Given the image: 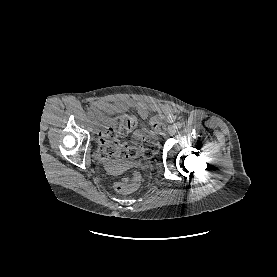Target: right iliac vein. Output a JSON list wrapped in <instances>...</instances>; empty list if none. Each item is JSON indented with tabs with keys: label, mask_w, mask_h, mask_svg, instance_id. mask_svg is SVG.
Returning <instances> with one entry per match:
<instances>
[{
	"label": "right iliac vein",
	"mask_w": 277,
	"mask_h": 277,
	"mask_svg": "<svg viewBox=\"0 0 277 277\" xmlns=\"http://www.w3.org/2000/svg\"><path fill=\"white\" fill-rule=\"evenodd\" d=\"M98 130H99V128H98V124H97V123H95V124H94V132H95V133H97V132H98Z\"/></svg>",
	"instance_id": "63e3f726"
}]
</instances>
